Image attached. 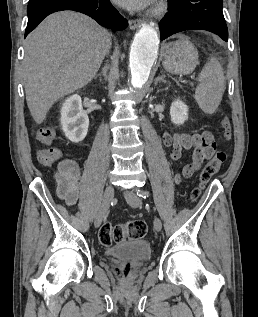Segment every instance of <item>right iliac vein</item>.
Segmentation results:
<instances>
[{"label": "right iliac vein", "instance_id": "right-iliac-vein-1", "mask_svg": "<svg viewBox=\"0 0 258 317\" xmlns=\"http://www.w3.org/2000/svg\"><path fill=\"white\" fill-rule=\"evenodd\" d=\"M113 197H114V187L112 185H109L108 187L105 188L103 192L101 205L99 207V210L96 213V216L94 217L95 226H100V224L104 221V216L106 215L107 210L110 208Z\"/></svg>", "mask_w": 258, "mask_h": 317}]
</instances>
